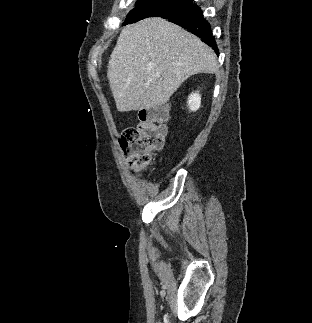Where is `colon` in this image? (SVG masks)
<instances>
[{
    "label": "colon",
    "mask_w": 312,
    "mask_h": 323,
    "mask_svg": "<svg viewBox=\"0 0 312 323\" xmlns=\"http://www.w3.org/2000/svg\"><path fill=\"white\" fill-rule=\"evenodd\" d=\"M159 111H153L135 127H128L123 133L126 141H119L120 158H129L126 168L141 172L150 166L153 154L162 148L166 139V127Z\"/></svg>",
    "instance_id": "5ec220e1"
}]
</instances>
